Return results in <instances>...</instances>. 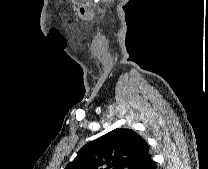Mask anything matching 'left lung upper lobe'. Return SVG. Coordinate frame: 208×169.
<instances>
[{"instance_id": "obj_1", "label": "left lung upper lobe", "mask_w": 208, "mask_h": 169, "mask_svg": "<svg viewBox=\"0 0 208 169\" xmlns=\"http://www.w3.org/2000/svg\"><path fill=\"white\" fill-rule=\"evenodd\" d=\"M148 154L141 136L117 128L84 145L65 169H141Z\"/></svg>"}]
</instances>
